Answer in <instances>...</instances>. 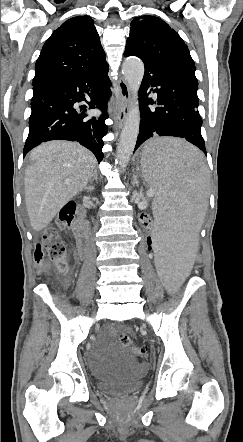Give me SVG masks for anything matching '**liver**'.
I'll list each match as a JSON object with an SVG mask.
<instances>
[{
	"instance_id": "1",
	"label": "liver",
	"mask_w": 243,
	"mask_h": 442,
	"mask_svg": "<svg viewBox=\"0 0 243 442\" xmlns=\"http://www.w3.org/2000/svg\"><path fill=\"white\" fill-rule=\"evenodd\" d=\"M25 171V204L31 227L40 231L91 180L96 159L79 143L49 141L30 153Z\"/></svg>"
}]
</instances>
